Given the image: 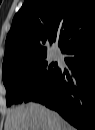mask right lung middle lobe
<instances>
[{
    "label": "right lung middle lobe",
    "instance_id": "obj_1",
    "mask_svg": "<svg viewBox=\"0 0 95 130\" xmlns=\"http://www.w3.org/2000/svg\"><path fill=\"white\" fill-rule=\"evenodd\" d=\"M57 70V65H49L44 57L29 64L3 71L7 106L30 101L46 86Z\"/></svg>",
    "mask_w": 95,
    "mask_h": 130
}]
</instances>
